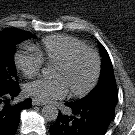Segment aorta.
I'll return each instance as SVG.
<instances>
[{"mask_svg": "<svg viewBox=\"0 0 135 135\" xmlns=\"http://www.w3.org/2000/svg\"><path fill=\"white\" fill-rule=\"evenodd\" d=\"M44 76H47L49 72L46 68L42 69ZM42 116L46 121H55L58 117V109L54 105H45L42 109Z\"/></svg>", "mask_w": 135, "mask_h": 135, "instance_id": "obj_1", "label": "aorta"}]
</instances>
